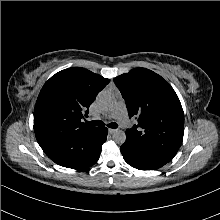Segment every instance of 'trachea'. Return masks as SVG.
Instances as JSON below:
<instances>
[{
  "label": "trachea",
  "mask_w": 220,
  "mask_h": 220,
  "mask_svg": "<svg viewBox=\"0 0 220 220\" xmlns=\"http://www.w3.org/2000/svg\"><path fill=\"white\" fill-rule=\"evenodd\" d=\"M86 124L93 125V126H104L105 125L104 122L100 120L86 121ZM107 126L109 128L116 129L118 127V124L112 122V123L107 124Z\"/></svg>",
  "instance_id": "obj_1"
}]
</instances>
